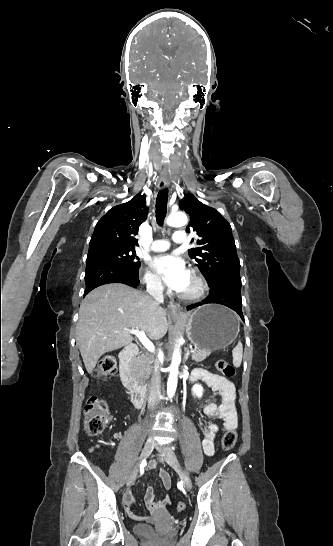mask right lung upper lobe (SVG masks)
I'll use <instances>...</instances> for the list:
<instances>
[{"label": "right lung upper lobe", "instance_id": "obj_1", "mask_svg": "<svg viewBox=\"0 0 333 546\" xmlns=\"http://www.w3.org/2000/svg\"><path fill=\"white\" fill-rule=\"evenodd\" d=\"M148 209L144 195L111 208L96 224L89 251L103 247L132 248L138 245L134 236L145 221Z\"/></svg>", "mask_w": 333, "mask_h": 546}]
</instances>
